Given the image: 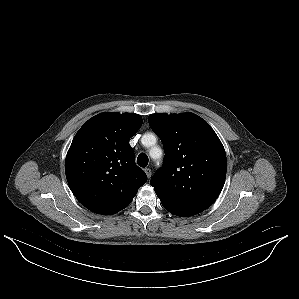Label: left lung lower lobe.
Returning a JSON list of instances; mask_svg holds the SVG:
<instances>
[{
	"mask_svg": "<svg viewBox=\"0 0 299 299\" xmlns=\"http://www.w3.org/2000/svg\"><path fill=\"white\" fill-rule=\"evenodd\" d=\"M163 207L168 210L169 212H171L172 214H175L177 216H184V217H188V216H192V215H196L200 212H202L203 210L201 209H190V208H177V207H172L168 204L162 203Z\"/></svg>",
	"mask_w": 299,
	"mask_h": 299,
	"instance_id": "left-lung-lower-lobe-1",
	"label": "left lung lower lobe"
}]
</instances>
